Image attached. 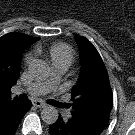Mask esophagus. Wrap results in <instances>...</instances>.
<instances>
[{"mask_svg": "<svg viewBox=\"0 0 135 135\" xmlns=\"http://www.w3.org/2000/svg\"><path fill=\"white\" fill-rule=\"evenodd\" d=\"M33 105H34L35 107H40V108L46 107V103L43 102L42 100H34V101H33Z\"/></svg>", "mask_w": 135, "mask_h": 135, "instance_id": "1", "label": "esophagus"}]
</instances>
